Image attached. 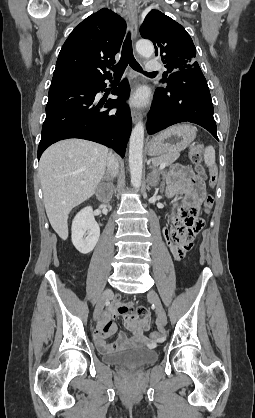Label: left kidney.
I'll return each mask as SVG.
<instances>
[{
	"label": "left kidney",
	"instance_id": "1",
	"mask_svg": "<svg viewBox=\"0 0 255 418\" xmlns=\"http://www.w3.org/2000/svg\"><path fill=\"white\" fill-rule=\"evenodd\" d=\"M176 201H177V198H175V199H174V202H176ZM176 205H177V204H174V207H176Z\"/></svg>",
	"mask_w": 255,
	"mask_h": 418
}]
</instances>
